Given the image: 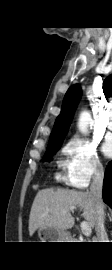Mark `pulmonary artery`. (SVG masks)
<instances>
[{
  "label": "pulmonary artery",
  "mask_w": 112,
  "mask_h": 270,
  "mask_svg": "<svg viewBox=\"0 0 112 270\" xmlns=\"http://www.w3.org/2000/svg\"><path fill=\"white\" fill-rule=\"evenodd\" d=\"M109 117H110V120L107 123V128L112 131V111L110 112Z\"/></svg>",
  "instance_id": "obj_1"
}]
</instances>
